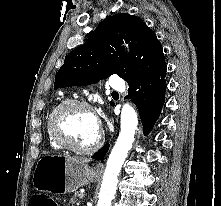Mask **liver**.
<instances>
[{
    "label": "liver",
    "instance_id": "1",
    "mask_svg": "<svg viewBox=\"0 0 221 206\" xmlns=\"http://www.w3.org/2000/svg\"><path fill=\"white\" fill-rule=\"evenodd\" d=\"M72 159L77 162H82V163H88L91 161L90 159H85V158H72Z\"/></svg>",
    "mask_w": 221,
    "mask_h": 206
}]
</instances>
